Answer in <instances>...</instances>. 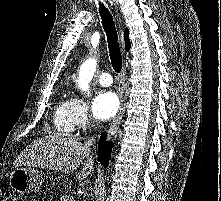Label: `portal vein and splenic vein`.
Instances as JSON below:
<instances>
[{
  "instance_id": "1",
  "label": "portal vein and splenic vein",
  "mask_w": 221,
  "mask_h": 201,
  "mask_svg": "<svg viewBox=\"0 0 221 201\" xmlns=\"http://www.w3.org/2000/svg\"><path fill=\"white\" fill-rule=\"evenodd\" d=\"M69 201H74V197L71 196V197H68Z\"/></svg>"
}]
</instances>
